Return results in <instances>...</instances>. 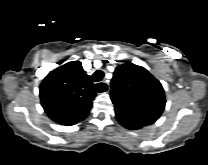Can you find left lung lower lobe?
<instances>
[{
  "label": "left lung lower lobe",
  "instance_id": "left-lung-lower-lobe-1",
  "mask_svg": "<svg viewBox=\"0 0 208 165\" xmlns=\"http://www.w3.org/2000/svg\"><path fill=\"white\" fill-rule=\"evenodd\" d=\"M125 128L131 129V130H136V129H139V128H141V127H125Z\"/></svg>",
  "mask_w": 208,
  "mask_h": 165
}]
</instances>
